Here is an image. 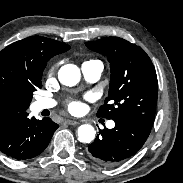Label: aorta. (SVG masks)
I'll return each mask as SVG.
<instances>
[{
	"label": "aorta",
	"mask_w": 183,
	"mask_h": 183,
	"mask_svg": "<svg viewBox=\"0 0 183 183\" xmlns=\"http://www.w3.org/2000/svg\"><path fill=\"white\" fill-rule=\"evenodd\" d=\"M80 69L74 64L62 66L58 72L59 81L66 86H75L80 81ZM96 131L89 124L81 125L78 128V140L82 143H90L95 139Z\"/></svg>",
	"instance_id": "aorta-1"
}]
</instances>
